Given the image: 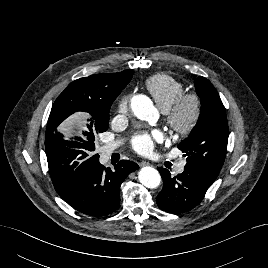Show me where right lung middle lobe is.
Returning <instances> with one entry per match:
<instances>
[{
    "instance_id": "1",
    "label": "right lung middle lobe",
    "mask_w": 268,
    "mask_h": 268,
    "mask_svg": "<svg viewBox=\"0 0 268 268\" xmlns=\"http://www.w3.org/2000/svg\"><path fill=\"white\" fill-rule=\"evenodd\" d=\"M67 118L65 105L54 103L46 129L45 150L53 184L70 190L87 169L99 160L95 154L96 137L108 129L109 114L96 116L81 137L64 139L55 129ZM55 127V128H53Z\"/></svg>"
}]
</instances>
